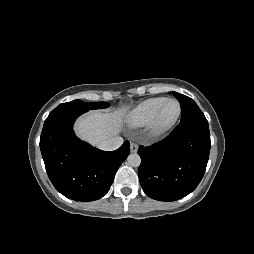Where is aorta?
I'll return each instance as SVG.
<instances>
[{"mask_svg": "<svg viewBox=\"0 0 254 254\" xmlns=\"http://www.w3.org/2000/svg\"><path fill=\"white\" fill-rule=\"evenodd\" d=\"M127 162L132 167H139L141 164V158L138 154H130L127 157Z\"/></svg>", "mask_w": 254, "mask_h": 254, "instance_id": "obj_1", "label": "aorta"}]
</instances>
